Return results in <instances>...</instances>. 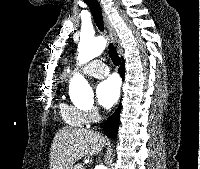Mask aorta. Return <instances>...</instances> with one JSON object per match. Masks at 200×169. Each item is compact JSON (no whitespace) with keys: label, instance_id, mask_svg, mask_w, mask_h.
Instances as JSON below:
<instances>
[{"label":"aorta","instance_id":"obj_1","mask_svg":"<svg viewBox=\"0 0 200 169\" xmlns=\"http://www.w3.org/2000/svg\"><path fill=\"white\" fill-rule=\"evenodd\" d=\"M106 44L107 41L102 36L94 37L82 35L78 45L77 61L79 64L89 62L104 51ZM69 91L74 101L80 99L92 100L94 95L86 79L79 74L74 75L71 79ZM95 169H106V167L99 164Z\"/></svg>","mask_w":200,"mask_h":169}]
</instances>
